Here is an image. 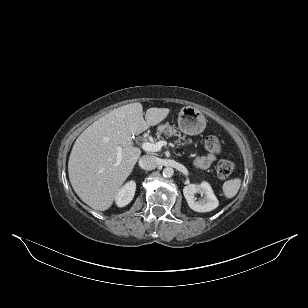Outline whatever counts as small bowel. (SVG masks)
Masks as SVG:
<instances>
[{"instance_id": "c3829d8e", "label": "small bowel", "mask_w": 308, "mask_h": 308, "mask_svg": "<svg viewBox=\"0 0 308 308\" xmlns=\"http://www.w3.org/2000/svg\"><path fill=\"white\" fill-rule=\"evenodd\" d=\"M216 160V156L213 154H207L201 157H197L194 161V165L199 169L208 168L214 161Z\"/></svg>"}]
</instances>
